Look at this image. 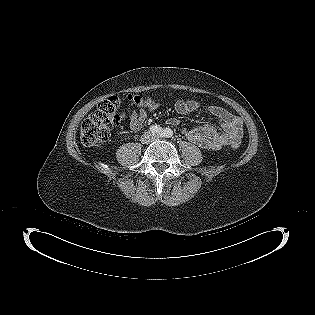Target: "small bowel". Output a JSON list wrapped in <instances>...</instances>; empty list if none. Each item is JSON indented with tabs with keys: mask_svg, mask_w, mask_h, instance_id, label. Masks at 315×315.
I'll list each match as a JSON object with an SVG mask.
<instances>
[{
	"mask_svg": "<svg viewBox=\"0 0 315 315\" xmlns=\"http://www.w3.org/2000/svg\"><path fill=\"white\" fill-rule=\"evenodd\" d=\"M159 106L160 103L155 102L149 106L142 107L138 112L129 111L131 128L134 130L139 129L146 121L148 112L155 110ZM199 107V103L195 100H178L175 103V110L181 115L195 112ZM208 111L219 119L221 130L209 124L192 129H184L183 132L187 139L206 150H217L226 145L239 144L243 134L241 118L219 106H209ZM167 123L171 126H178L180 121L177 118H169Z\"/></svg>",
	"mask_w": 315,
	"mask_h": 315,
	"instance_id": "c3829d8e",
	"label": "small bowel"
}]
</instances>
